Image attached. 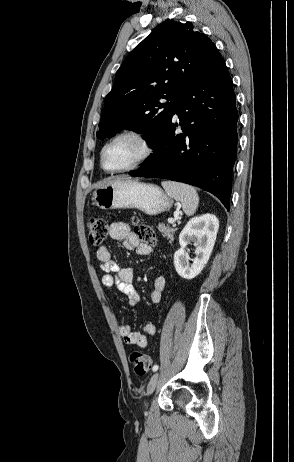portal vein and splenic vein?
Masks as SVG:
<instances>
[{
	"instance_id": "18ae733b",
	"label": "portal vein and splenic vein",
	"mask_w": 294,
	"mask_h": 462,
	"mask_svg": "<svg viewBox=\"0 0 294 462\" xmlns=\"http://www.w3.org/2000/svg\"><path fill=\"white\" fill-rule=\"evenodd\" d=\"M168 222L172 225H175V222H176V219H173V218H169L168 219Z\"/></svg>"
}]
</instances>
